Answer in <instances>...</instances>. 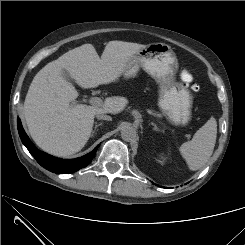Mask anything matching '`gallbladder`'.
Masks as SVG:
<instances>
[{"mask_svg": "<svg viewBox=\"0 0 245 245\" xmlns=\"http://www.w3.org/2000/svg\"><path fill=\"white\" fill-rule=\"evenodd\" d=\"M62 76L64 77L65 80H67L69 82H72L73 81V79L71 78L69 72L66 71V70H63L62 71Z\"/></svg>", "mask_w": 245, "mask_h": 245, "instance_id": "1", "label": "gallbladder"}]
</instances>
